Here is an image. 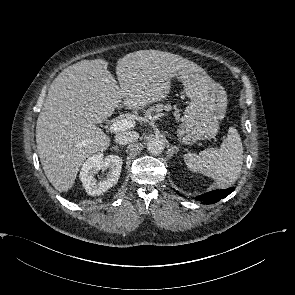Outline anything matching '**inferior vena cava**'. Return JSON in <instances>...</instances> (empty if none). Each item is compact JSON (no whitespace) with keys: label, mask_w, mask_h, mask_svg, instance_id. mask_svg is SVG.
<instances>
[{"label":"inferior vena cava","mask_w":295,"mask_h":295,"mask_svg":"<svg viewBox=\"0 0 295 295\" xmlns=\"http://www.w3.org/2000/svg\"><path fill=\"white\" fill-rule=\"evenodd\" d=\"M139 138V134L134 131H127L118 133L115 136V142L120 145H126L131 142L137 141Z\"/></svg>","instance_id":"inferior-vena-cava-1"}]
</instances>
